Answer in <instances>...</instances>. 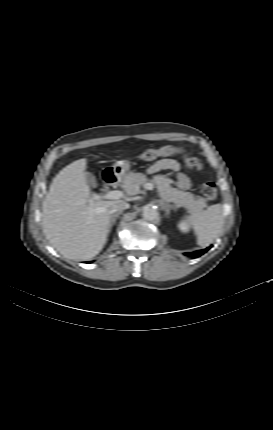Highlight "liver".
<instances>
[{
    "label": "liver",
    "instance_id": "1",
    "mask_svg": "<svg viewBox=\"0 0 273 430\" xmlns=\"http://www.w3.org/2000/svg\"><path fill=\"white\" fill-rule=\"evenodd\" d=\"M87 160H76L53 179L42 206L43 233L61 255L87 260L103 248L115 201H90Z\"/></svg>",
    "mask_w": 273,
    "mask_h": 430
}]
</instances>
